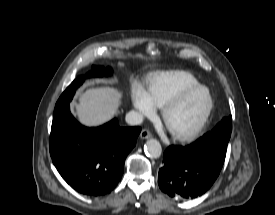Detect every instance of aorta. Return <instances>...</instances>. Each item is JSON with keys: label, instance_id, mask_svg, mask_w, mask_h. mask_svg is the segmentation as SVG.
<instances>
[{"label": "aorta", "instance_id": "obj_1", "mask_svg": "<svg viewBox=\"0 0 275 215\" xmlns=\"http://www.w3.org/2000/svg\"><path fill=\"white\" fill-rule=\"evenodd\" d=\"M144 151L150 158H159L162 153V147L158 140L150 139L146 142Z\"/></svg>", "mask_w": 275, "mask_h": 215}]
</instances>
